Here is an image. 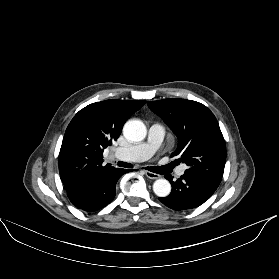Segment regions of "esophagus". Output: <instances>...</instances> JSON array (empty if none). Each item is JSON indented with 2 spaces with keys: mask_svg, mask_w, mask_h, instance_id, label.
Here are the masks:
<instances>
[{
  "mask_svg": "<svg viewBox=\"0 0 279 279\" xmlns=\"http://www.w3.org/2000/svg\"><path fill=\"white\" fill-rule=\"evenodd\" d=\"M145 175L150 178V179H158L160 178V175L150 172V171H145Z\"/></svg>",
  "mask_w": 279,
  "mask_h": 279,
  "instance_id": "obj_1",
  "label": "esophagus"
}]
</instances>
